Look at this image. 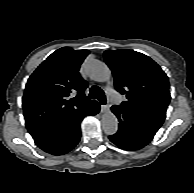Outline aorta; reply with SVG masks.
Returning <instances> with one entry per match:
<instances>
[{
	"label": "aorta",
	"instance_id": "1",
	"mask_svg": "<svg viewBox=\"0 0 194 193\" xmlns=\"http://www.w3.org/2000/svg\"><path fill=\"white\" fill-rule=\"evenodd\" d=\"M86 73L94 81L105 82L110 79L111 71L108 66L96 59L87 61ZM102 127L107 135H113L118 130V120L111 112H106L102 116Z\"/></svg>",
	"mask_w": 194,
	"mask_h": 193
}]
</instances>
